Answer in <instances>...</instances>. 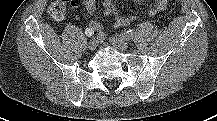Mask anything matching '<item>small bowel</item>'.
<instances>
[{"label":"small bowel","instance_id":"obj_1","mask_svg":"<svg viewBox=\"0 0 217 121\" xmlns=\"http://www.w3.org/2000/svg\"><path fill=\"white\" fill-rule=\"evenodd\" d=\"M134 2H140L142 0H133ZM154 6L148 10L149 16H155L159 12H162L167 5V0H153ZM71 5L76 6L75 0H70ZM83 4L89 14H94L96 11L97 0H83ZM103 8L105 16H112L113 27L114 28H122L128 26L133 20H135V16H123L121 15L116 7L114 0H103ZM89 28L93 31L98 32L101 39H104L105 34L103 32L102 24L97 20H92L89 23Z\"/></svg>","mask_w":217,"mask_h":121}]
</instances>
